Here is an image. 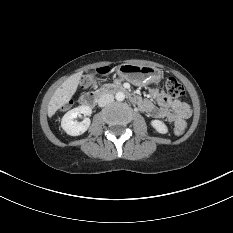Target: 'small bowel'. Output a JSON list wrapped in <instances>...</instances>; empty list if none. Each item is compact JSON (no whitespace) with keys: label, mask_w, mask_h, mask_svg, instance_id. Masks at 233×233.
I'll use <instances>...</instances> for the list:
<instances>
[{"label":"small bowel","mask_w":233,"mask_h":233,"mask_svg":"<svg viewBox=\"0 0 233 233\" xmlns=\"http://www.w3.org/2000/svg\"><path fill=\"white\" fill-rule=\"evenodd\" d=\"M113 81L115 84L120 85L123 83L124 78L122 75L117 74L114 76ZM148 87L154 88L155 82L149 81ZM151 95L157 101V105L149 99L139 98L137 105L140 109L151 117L166 120L174 123L175 127L185 129L186 120L191 116V107L187 103L171 99L157 90H152Z\"/></svg>","instance_id":"1"}]
</instances>
